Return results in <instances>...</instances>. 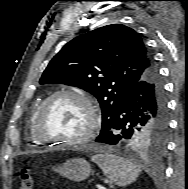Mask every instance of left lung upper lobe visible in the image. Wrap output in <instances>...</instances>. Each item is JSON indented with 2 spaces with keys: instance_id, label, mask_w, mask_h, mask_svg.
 <instances>
[{
  "instance_id": "obj_1",
  "label": "left lung upper lobe",
  "mask_w": 188,
  "mask_h": 189,
  "mask_svg": "<svg viewBox=\"0 0 188 189\" xmlns=\"http://www.w3.org/2000/svg\"><path fill=\"white\" fill-rule=\"evenodd\" d=\"M155 65L140 35L112 24L68 42L50 61L40 84L63 83L92 93L102 110L104 134L121 108L131 87ZM166 128H146L135 134L129 146L161 151Z\"/></svg>"
}]
</instances>
